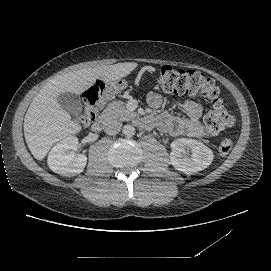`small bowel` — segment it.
<instances>
[{
  "instance_id": "1",
  "label": "small bowel",
  "mask_w": 271,
  "mask_h": 271,
  "mask_svg": "<svg viewBox=\"0 0 271 271\" xmlns=\"http://www.w3.org/2000/svg\"><path fill=\"white\" fill-rule=\"evenodd\" d=\"M147 102L150 107L158 108L161 106L163 99L160 94L151 92L147 96ZM179 108L184 117H177L170 112H164L158 119L159 126L173 136L202 137L204 135L201 124L203 107L195 101L182 100L179 103Z\"/></svg>"
}]
</instances>
